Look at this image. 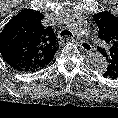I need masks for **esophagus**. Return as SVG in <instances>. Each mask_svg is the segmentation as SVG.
I'll use <instances>...</instances> for the list:
<instances>
[{"label":"esophagus","instance_id":"1","mask_svg":"<svg viewBox=\"0 0 118 118\" xmlns=\"http://www.w3.org/2000/svg\"><path fill=\"white\" fill-rule=\"evenodd\" d=\"M69 40H73V38L67 37ZM76 42L79 44V46L85 51L90 52L92 50V46L89 42H86L84 40H80L79 38L76 39Z\"/></svg>","mask_w":118,"mask_h":118}]
</instances>
